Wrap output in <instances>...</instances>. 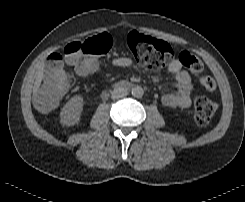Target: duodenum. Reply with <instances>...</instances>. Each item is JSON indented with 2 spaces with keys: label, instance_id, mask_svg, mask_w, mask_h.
Here are the masks:
<instances>
[{
  "label": "duodenum",
  "instance_id": "duodenum-1",
  "mask_svg": "<svg viewBox=\"0 0 245 202\" xmlns=\"http://www.w3.org/2000/svg\"><path fill=\"white\" fill-rule=\"evenodd\" d=\"M129 86H130V84H128V83H125V84H121V85H120L121 88H127V87H129Z\"/></svg>",
  "mask_w": 245,
  "mask_h": 202
}]
</instances>
